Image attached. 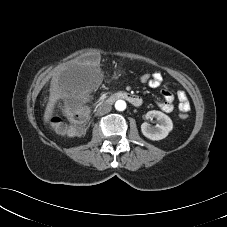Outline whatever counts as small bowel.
<instances>
[{
  "mask_svg": "<svg viewBox=\"0 0 227 227\" xmlns=\"http://www.w3.org/2000/svg\"><path fill=\"white\" fill-rule=\"evenodd\" d=\"M162 80V74L156 71L153 73V79L149 83V86L152 88L159 87L162 83ZM161 93L164 100L157 103L158 107L164 112H172L174 109V94L168 89H163ZM177 98L179 100L178 108L180 112H188L191 106L186 93L182 90L178 91Z\"/></svg>",
  "mask_w": 227,
  "mask_h": 227,
  "instance_id": "c3829d8e",
  "label": "small bowel"
}]
</instances>
